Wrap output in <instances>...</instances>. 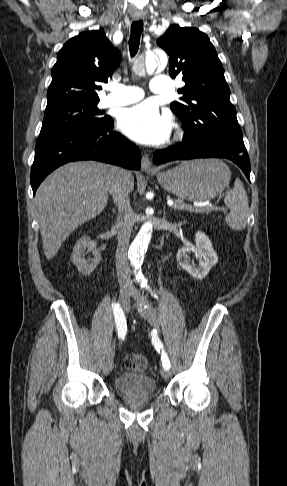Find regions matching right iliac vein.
<instances>
[{
  "label": "right iliac vein",
  "mask_w": 287,
  "mask_h": 486,
  "mask_svg": "<svg viewBox=\"0 0 287 486\" xmlns=\"http://www.w3.org/2000/svg\"><path fill=\"white\" fill-rule=\"evenodd\" d=\"M119 302L122 308L127 311L130 304V292L127 290H122L119 296ZM113 367V351L110 349L103 362V373L104 375L110 374Z\"/></svg>",
  "instance_id": "obj_1"
}]
</instances>
